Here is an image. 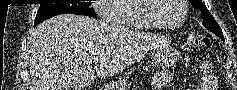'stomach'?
Instances as JSON below:
<instances>
[{"instance_id": "1", "label": "stomach", "mask_w": 237, "mask_h": 90, "mask_svg": "<svg viewBox=\"0 0 237 90\" xmlns=\"http://www.w3.org/2000/svg\"><path fill=\"white\" fill-rule=\"evenodd\" d=\"M177 59V53L173 50L166 51L164 54H157L155 58V63L158 67H168L172 65ZM127 84V79H123L112 86V90H125Z\"/></svg>"}]
</instances>
